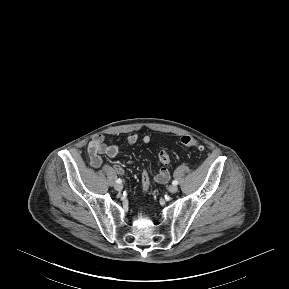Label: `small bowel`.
I'll list each match as a JSON object with an SVG mask.
<instances>
[{"instance_id":"small-bowel-1","label":"small bowel","mask_w":289,"mask_h":289,"mask_svg":"<svg viewBox=\"0 0 289 289\" xmlns=\"http://www.w3.org/2000/svg\"><path fill=\"white\" fill-rule=\"evenodd\" d=\"M139 140L138 134H131L127 138V144L129 146H132L136 144ZM151 138L148 135H144L142 137V142L144 144L150 143ZM120 145L119 144H107L105 143L104 137L102 135H96L89 143L88 145V153L91 158V162L93 166L98 167L101 165V156L105 155L109 158H115L119 152H120ZM115 171L118 174H123L124 169L120 164H116L114 166ZM171 177L169 174V171L167 168L162 167L158 174L153 178V181L157 184H164V183H170ZM151 183L150 177H149V184Z\"/></svg>"}]
</instances>
